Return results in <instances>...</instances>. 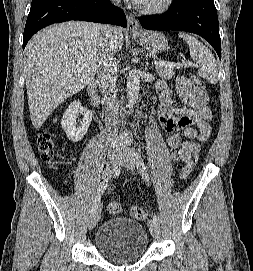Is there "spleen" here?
I'll list each match as a JSON object with an SVG mask.
<instances>
[{
  "label": "spleen",
  "instance_id": "obj_1",
  "mask_svg": "<svg viewBox=\"0 0 253 271\" xmlns=\"http://www.w3.org/2000/svg\"><path fill=\"white\" fill-rule=\"evenodd\" d=\"M178 36L189 45L190 56L199 65V76L216 84L218 82V68L212 52L189 34L180 32Z\"/></svg>",
  "mask_w": 253,
  "mask_h": 271
}]
</instances>
